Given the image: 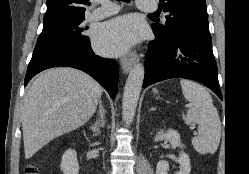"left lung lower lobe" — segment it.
I'll return each instance as SVG.
<instances>
[{
	"instance_id": "1",
	"label": "left lung lower lobe",
	"mask_w": 249,
	"mask_h": 174,
	"mask_svg": "<svg viewBox=\"0 0 249 174\" xmlns=\"http://www.w3.org/2000/svg\"><path fill=\"white\" fill-rule=\"evenodd\" d=\"M155 36L145 57L144 88L169 78H186L204 84L222 100L211 37L167 41Z\"/></svg>"
}]
</instances>
